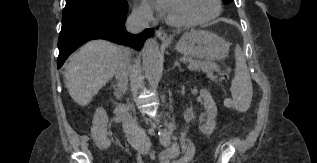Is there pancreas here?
Returning a JSON list of instances; mask_svg holds the SVG:
<instances>
[{
	"label": "pancreas",
	"instance_id": "pancreas-1",
	"mask_svg": "<svg viewBox=\"0 0 317 163\" xmlns=\"http://www.w3.org/2000/svg\"><path fill=\"white\" fill-rule=\"evenodd\" d=\"M185 60L189 63L188 68L190 70H201L205 72L212 81H217V76L213 74L214 71L219 72L217 65L206 61L195 60L190 57H186Z\"/></svg>",
	"mask_w": 317,
	"mask_h": 163
}]
</instances>
